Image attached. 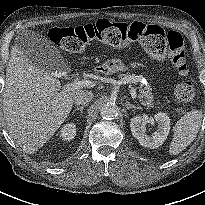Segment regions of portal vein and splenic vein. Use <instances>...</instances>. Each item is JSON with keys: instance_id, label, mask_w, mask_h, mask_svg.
I'll return each instance as SVG.
<instances>
[{"instance_id": "18ae733b", "label": "portal vein and splenic vein", "mask_w": 205, "mask_h": 205, "mask_svg": "<svg viewBox=\"0 0 205 205\" xmlns=\"http://www.w3.org/2000/svg\"><path fill=\"white\" fill-rule=\"evenodd\" d=\"M91 82L88 80H81V81H74V82H70L64 85V90L66 91H73L76 89H80L83 87H87L90 86ZM137 97V95L135 93H132V98L135 99Z\"/></svg>"}]
</instances>
